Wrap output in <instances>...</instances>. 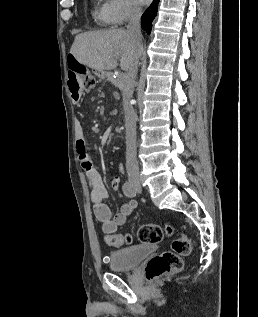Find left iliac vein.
I'll return each mask as SVG.
<instances>
[{
  "mask_svg": "<svg viewBox=\"0 0 258 317\" xmlns=\"http://www.w3.org/2000/svg\"><path fill=\"white\" fill-rule=\"evenodd\" d=\"M131 182L133 181L132 179L130 180ZM136 187V194H141V186H135Z\"/></svg>",
  "mask_w": 258,
  "mask_h": 317,
  "instance_id": "left-iliac-vein-1",
  "label": "left iliac vein"
}]
</instances>
